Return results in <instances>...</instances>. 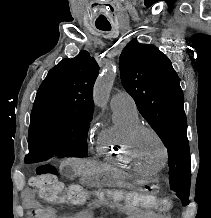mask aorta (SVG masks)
Masks as SVG:
<instances>
[{
  "label": "aorta",
  "mask_w": 211,
  "mask_h": 218,
  "mask_svg": "<svg viewBox=\"0 0 211 218\" xmlns=\"http://www.w3.org/2000/svg\"><path fill=\"white\" fill-rule=\"evenodd\" d=\"M115 76L116 70L110 65L106 66L102 73L99 74L93 92L94 103L98 107L103 108L106 106Z\"/></svg>",
  "instance_id": "aorta-1"
}]
</instances>
